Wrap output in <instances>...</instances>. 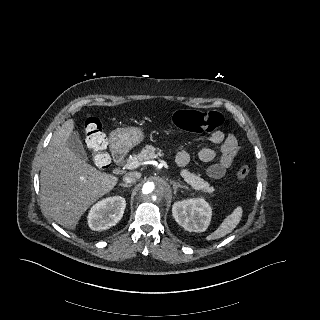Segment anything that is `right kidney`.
<instances>
[{
	"instance_id": "right-kidney-1",
	"label": "right kidney",
	"mask_w": 320,
	"mask_h": 320,
	"mask_svg": "<svg viewBox=\"0 0 320 320\" xmlns=\"http://www.w3.org/2000/svg\"><path fill=\"white\" fill-rule=\"evenodd\" d=\"M126 207L121 196L104 198L94 204L88 214V225L94 231H102L116 225Z\"/></svg>"
}]
</instances>
